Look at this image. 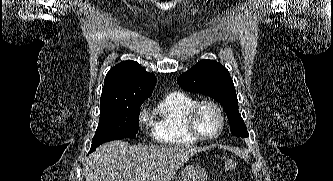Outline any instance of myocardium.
Here are the masks:
<instances>
[{
    "mask_svg": "<svg viewBox=\"0 0 333 181\" xmlns=\"http://www.w3.org/2000/svg\"><path fill=\"white\" fill-rule=\"evenodd\" d=\"M204 106L212 108L216 112V114L219 118V121H220V126H219L217 133L212 136L203 135L197 127L196 117H197L199 110ZM224 125H225V119H224V115H223L221 108L215 102L210 101V100L196 101L189 108V110L186 113L187 129L192 136H194L195 138H197L199 140L208 141V140H214V139L218 138L223 132Z\"/></svg>",
    "mask_w": 333,
    "mask_h": 181,
    "instance_id": "1",
    "label": "myocardium"
}]
</instances>
